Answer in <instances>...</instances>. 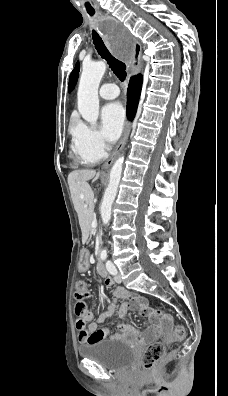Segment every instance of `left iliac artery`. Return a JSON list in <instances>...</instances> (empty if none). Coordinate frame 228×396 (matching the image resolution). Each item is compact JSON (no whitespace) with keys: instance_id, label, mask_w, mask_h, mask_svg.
Here are the masks:
<instances>
[{"instance_id":"obj_1","label":"left iliac artery","mask_w":228,"mask_h":396,"mask_svg":"<svg viewBox=\"0 0 228 396\" xmlns=\"http://www.w3.org/2000/svg\"><path fill=\"white\" fill-rule=\"evenodd\" d=\"M106 268L108 272L112 275H115L117 273V270L111 261L106 262Z\"/></svg>"}]
</instances>
